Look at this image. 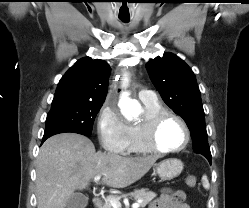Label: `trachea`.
<instances>
[{
  "mask_svg": "<svg viewBox=\"0 0 249 208\" xmlns=\"http://www.w3.org/2000/svg\"><path fill=\"white\" fill-rule=\"evenodd\" d=\"M123 22H128V20L127 19H121Z\"/></svg>",
  "mask_w": 249,
  "mask_h": 208,
  "instance_id": "obj_1",
  "label": "trachea"
}]
</instances>
